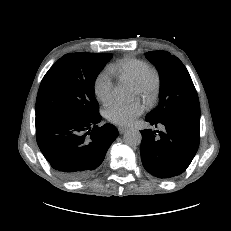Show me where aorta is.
Here are the masks:
<instances>
[{
  "label": "aorta",
  "mask_w": 231,
  "mask_h": 231,
  "mask_svg": "<svg viewBox=\"0 0 231 231\" xmlns=\"http://www.w3.org/2000/svg\"><path fill=\"white\" fill-rule=\"evenodd\" d=\"M113 93L114 96L120 100H125L128 97L127 89L122 86L115 87ZM123 140L126 145L135 147L141 143L142 135L137 129H128L124 133Z\"/></svg>",
  "instance_id": "aorta-1"
}]
</instances>
